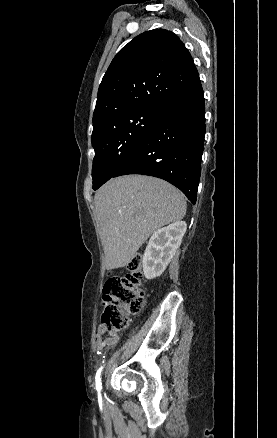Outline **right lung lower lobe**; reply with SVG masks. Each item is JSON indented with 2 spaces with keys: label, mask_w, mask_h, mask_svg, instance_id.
<instances>
[{
  "label": "right lung lower lobe",
  "mask_w": 277,
  "mask_h": 438,
  "mask_svg": "<svg viewBox=\"0 0 277 438\" xmlns=\"http://www.w3.org/2000/svg\"><path fill=\"white\" fill-rule=\"evenodd\" d=\"M171 68L172 65L164 64L161 70ZM204 136V93L199 81L162 105L144 142L113 177L143 174L162 178L195 204Z\"/></svg>",
  "instance_id": "obj_1"
}]
</instances>
